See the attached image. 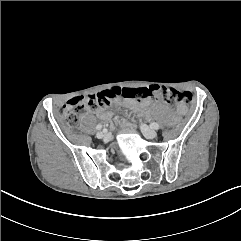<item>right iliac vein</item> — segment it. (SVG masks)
<instances>
[{
	"label": "right iliac vein",
	"mask_w": 241,
	"mask_h": 241,
	"mask_svg": "<svg viewBox=\"0 0 241 241\" xmlns=\"http://www.w3.org/2000/svg\"><path fill=\"white\" fill-rule=\"evenodd\" d=\"M96 136L97 138L102 139V138H106L108 134L106 132H98Z\"/></svg>",
	"instance_id": "1"
}]
</instances>
